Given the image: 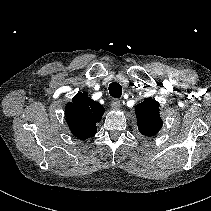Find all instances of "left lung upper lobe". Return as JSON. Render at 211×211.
<instances>
[{
    "label": "left lung upper lobe",
    "mask_w": 211,
    "mask_h": 211,
    "mask_svg": "<svg viewBox=\"0 0 211 211\" xmlns=\"http://www.w3.org/2000/svg\"><path fill=\"white\" fill-rule=\"evenodd\" d=\"M135 113L138 120V129L141 134L152 137L156 135L163 125L159 114V103L152 98H145L137 104Z\"/></svg>",
    "instance_id": "left-lung-upper-lobe-1"
}]
</instances>
